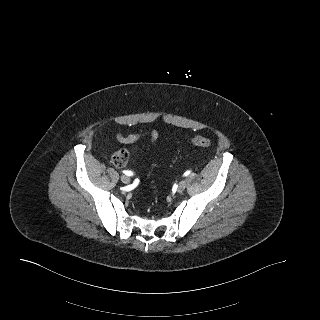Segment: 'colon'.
Segmentation results:
<instances>
[{
	"mask_svg": "<svg viewBox=\"0 0 320 320\" xmlns=\"http://www.w3.org/2000/svg\"><path fill=\"white\" fill-rule=\"evenodd\" d=\"M190 143L201 148H209L211 146V141L204 136H195L190 139ZM129 158V150L127 148L118 149L113 157L112 162L117 167H122L127 163Z\"/></svg>",
	"mask_w": 320,
	"mask_h": 320,
	"instance_id": "1",
	"label": "colon"
}]
</instances>
